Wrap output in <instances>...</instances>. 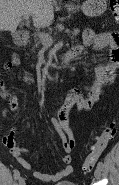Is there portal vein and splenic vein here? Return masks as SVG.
I'll return each instance as SVG.
<instances>
[{
  "mask_svg": "<svg viewBox=\"0 0 119 185\" xmlns=\"http://www.w3.org/2000/svg\"><path fill=\"white\" fill-rule=\"evenodd\" d=\"M24 19L25 21H28L29 19V14H24ZM42 44L46 47H50L53 44V39L51 36L45 34V33H40L39 34Z\"/></svg>",
  "mask_w": 119,
  "mask_h": 185,
  "instance_id": "obj_1",
  "label": "portal vein and splenic vein"
}]
</instances>
